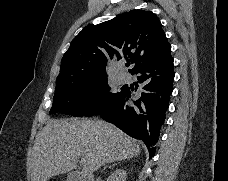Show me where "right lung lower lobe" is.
Wrapping results in <instances>:
<instances>
[{
    "label": "right lung lower lobe",
    "mask_w": 228,
    "mask_h": 181,
    "mask_svg": "<svg viewBox=\"0 0 228 181\" xmlns=\"http://www.w3.org/2000/svg\"><path fill=\"white\" fill-rule=\"evenodd\" d=\"M171 46L132 71L139 74L135 87H124L121 96L99 115L133 138L142 140L154 156L175 76ZM133 102V103H132Z\"/></svg>",
    "instance_id": "1"
}]
</instances>
